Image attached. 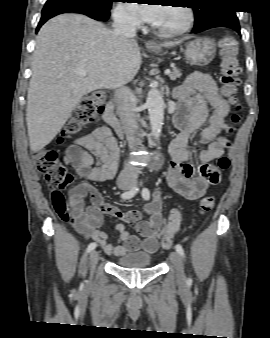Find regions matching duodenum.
Segmentation results:
<instances>
[{
	"label": "duodenum",
	"instance_id": "obj_1",
	"mask_svg": "<svg viewBox=\"0 0 270 338\" xmlns=\"http://www.w3.org/2000/svg\"><path fill=\"white\" fill-rule=\"evenodd\" d=\"M116 105L113 102L108 103L103 112L102 117L106 123H108L118 134L122 136L120 121L116 115Z\"/></svg>",
	"mask_w": 270,
	"mask_h": 338
}]
</instances>
